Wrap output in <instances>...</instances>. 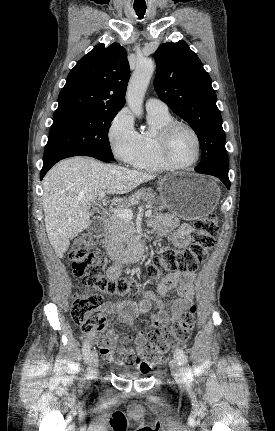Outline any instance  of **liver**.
Listing matches in <instances>:
<instances>
[{
  "instance_id": "obj_1",
  "label": "liver",
  "mask_w": 275,
  "mask_h": 431,
  "mask_svg": "<svg viewBox=\"0 0 275 431\" xmlns=\"http://www.w3.org/2000/svg\"><path fill=\"white\" fill-rule=\"evenodd\" d=\"M155 175L74 157L57 163L43 180L45 227L51 246L62 258L70 240L90 224L92 202L100 191L126 194Z\"/></svg>"
}]
</instances>
